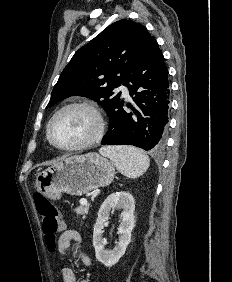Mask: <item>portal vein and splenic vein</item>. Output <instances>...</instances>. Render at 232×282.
Segmentation results:
<instances>
[{"label":"portal vein and splenic vein","mask_w":232,"mask_h":282,"mask_svg":"<svg viewBox=\"0 0 232 282\" xmlns=\"http://www.w3.org/2000/svg\"><path fill=\"white\" fill-rule=\"evenodd\" d=\"M80 204L83 205V206L87 205L88 204L87 199H84V198L81 199Z\"/></svg>","instance_id":"portal-vein-and-splenic-vein-1"}]
</instances>
